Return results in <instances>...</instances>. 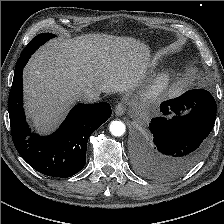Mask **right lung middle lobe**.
Segmentation results:
<instances>
[{
    "mask_svg": "<svg viewBox=\"0 0 224 224\" xmlns=\"http://www.w3.org/2000/svg\"><path fill=\"white\" fill-rule=\"evenodd\" d=\"M55 37V34L51 33H41L37 35L33 40L25 47V49L22 51L20 56H23L26 53L35 52L36 49L39 48V46L43 45L45 42H47L49 39H52Z\"/></svg>",
    "mask_w": 224,
    "mask_h": 224,
    "instance_id": "right-lung-middle-lobe-1",
    "label": "right lung middle lobe"
}]
</instances>
